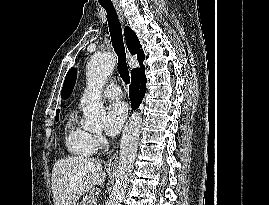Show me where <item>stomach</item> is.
I'll use <instances>...</instances> for the list:
<instances>
[{"instance_id": "0dacf381", "label": "stomach", "mask_w": 269, "mask_h": 205, "mask_svg": "<svg viewBox=\"0 0 269 205\" xmlns=\"http://www.w3.org/2000/svg\"><path fill=\"white\" fill-rule=\"evenodd\" d=\"M76 205H85L84 202L77 203Z\"/></svg>"}]
</instances>
